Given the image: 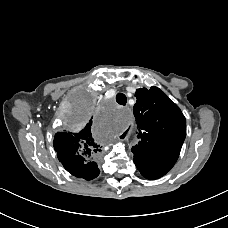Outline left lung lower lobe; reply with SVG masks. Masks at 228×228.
I'll use <instances>...</instances> for the list:
<instances>
[{
	"label": "left lung lower lobe",
	"mask_w": 228,
	"mask_h": 228,
	"mask_svg": "<svg viewBox=\"0 0 228 228\" xmlns=\"http://www.w3.org/2000/svg\"><path fill=\"white\" fill-rule=\"evenodd\" d=\"M134 163L142 176L147 179H158L165 175L175 164L177 158L158 155L147 151H135Z\"/></svg>",
	"instance_id": "0a47b994"
}]
</instances>
